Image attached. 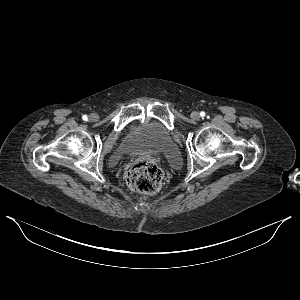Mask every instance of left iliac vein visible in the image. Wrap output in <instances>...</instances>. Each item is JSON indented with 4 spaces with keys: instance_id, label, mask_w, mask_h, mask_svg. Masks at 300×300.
Instances as JSON below:
<instances>
[{
    "instance_id": "1",
    "label": "left iliac vein",
    "mask_w": 300,
    "mask_h": 300,
    "mask_svg": "<svg viewBox=\"0 0 300 300\" xmlns=\"http://www.w3.org/2000/svg\"><path fill=\"white\" fill-rule=\"evenodd\" d=\"M191 119L197 121L200 119V114L197 111H193L190 115Z\"/></svg>"
}]
</instances>
